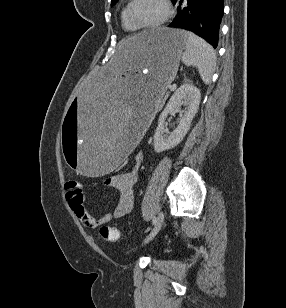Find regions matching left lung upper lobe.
<instances>
[{
    "label": "left lung upper lobe",
    "mask_w": 286,
    "mask_h": 308,
    "mask_svg": "<svg viewBox=\"0 0 286 308\" xmlns=\"http://www.w3.org/2000/svg\"><path fill=\"white\" fill-rule=\"evenodd\" d=\"M118 2V0H111V6L115 5Z\"/></svg>",
    "instance_id": "obj_1"
}]
</instances>
